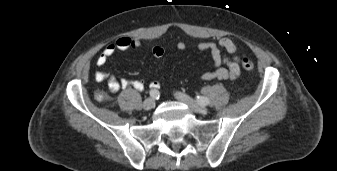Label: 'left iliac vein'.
<instances>
[{
	"label": "left iliac vein",
	"mask_w": 337,
	"mask_h": 171,
	"mask_svg": "<svg viewBox=\"0 0 337 171\" xmlns=\"http://www.w3.org/2000/svg\"><path fill=\"white\" fill-rule=\"evenodd\" d=\"M175 97L179 101H181V102L185 103L186 105H188L196 113L206 114L208 112V109L206 107H204L203 105L198 104L197 102H195L193 99H191L190 97H188L185 94L177 92L175 94Z\"/></svg>",
	"instance_id": "4c4485c4"
}]
</instances>
